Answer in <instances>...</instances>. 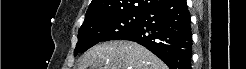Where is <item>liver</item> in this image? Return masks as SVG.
Returning <instances> with one entry per match:
<instances>
[{
  "label": "liver",
  "instance_id": "6515ba94",
  "mask_svg": "<svg viewBox=\"0 0 246 69\" xmlns=\"http://www.w3.org/2000/svg\"><path fill=\"white\" fill-rule=\"evenodd\" d=\"M167 69L145 47L130 41H110L89 49L78 69ZM94 67V68H93Z\"/></svg>",
  "mask_w": 246,
  "mask_h": 69
}]
</instances>
